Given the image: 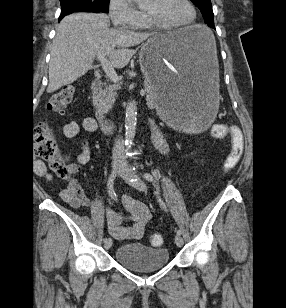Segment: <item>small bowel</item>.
<instances>
[{"mask_svg":"<svg viewBox=\"0 0 286 308\" xmlns=\"http://www.w3.org/2000/svg\"><path fill=\"white\" fill-rule=\"evenodd\" d=\"M229 127L231 131V140L242 139L236 127ZM97 130L98 124L96 120L92 117H86L81 122H68L64 125L62 132L65 138L71 139L78 136L81 132L95 133ZM155 144L162 154L168 155L170 153V147L164 139L155 140ZM90 158V144L89 141L84 138L82 140L81 152L68 163L69 175L66 178L67 185L59 193L60 198L74 209H80L90 203L89 198L81 188L77 179V174L81 166L87 164ZM35 171L38 175L47 179L51 177L44 163L40 161L35 163ZM123 205L127 211V215H121L113 211L106 212L108 231L110 235L118 241L139 240L150 218V211L144 203L129 195L123 197Z\"/></svg>","mask_w":286,"mask_h":308,"instance_id":"obj_1","label":"small bowel"}]
</instances>
